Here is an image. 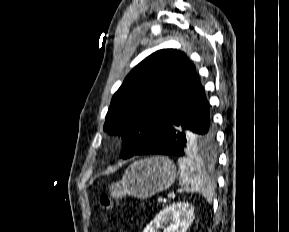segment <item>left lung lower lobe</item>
<instances>
[{
	"label": "left lung lower lobe",
	"instance_id": "0a47b994",
	"mask_svg": "<svg viewBox=\"0 0 289 232\" xmlns=\"http://www.w3.org/2000/svg\"><path fill=\"white\" fill-rule=\"evenodd\" d=\"M214 143V127L199 80L182 99L167 125L134 155L183 156L193 151H209Z\"/></svg>",
	"mask_w": 289,
	"mask_h": 232
}]
</instances>
